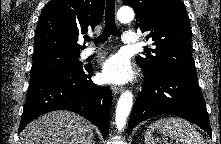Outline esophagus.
Segmentation results:
<instances>
[{
    "label": "esophagus",
    "mask_w": 221,
    "mask_h": 144,
    "mask_svg": "<svg viewBox=\"0 0 221 144\" xmlns=\"http://www.w3.org/2000/svg\"><path fill=\"white\" fill-rule=\"evenodd\" d=\"M111 89L114 94H119L123 91V87L119 86H112Z\"/></svg>",
    "instance_id": "esophagus-1"
}]
</instances>
